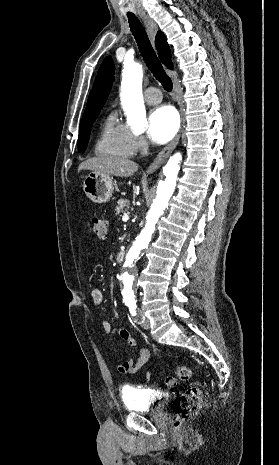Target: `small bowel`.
<instances>
[{
	"label": "small bowel",
	"mask_w": 279,
	"mask_h": 465,
	"mask_svg": "<svg viewBox=\"0 0 279 465\" xmlns=\"http://www.w3.org/2000/svg\"><path fill=\"white\" fill-rule=\"evenodd\" d=\"M91 298L94 305L99 306L103 303L104 295L101 289L93 288L91 291ZM104 333L109 334L112 331V326L109 321L104 320L101 323ZM119 336L127 342L130 347H135L138 343L137 340L130 334L126 329L119 330ZM151 356L150 350L146 347H142L138 350L137 356L129 358L123 362H120L117 366L118 372L122 374H134L140 370L149 360ZM150 373H147V377Z\"/></svg>",
	"instance_id": "small-bowel-1"
}]
</instances>
